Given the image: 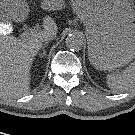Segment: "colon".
I'll list each match as a JSON object with an SVG mask.
<instances>
[{
  "label": "colon",
  "instance_id": "obj_1",
  "mask_svg": "<svg viewBox=\"0 0 135 135\" xmlns=\"http://www.w3.org/2000/svg\"><path fill=\"white\" fill-rule=\"evenodd\" d=\"M133 5L135 6V0H132Z\"/></svg>",
  "mask_w": 135,
  "mask_h": 135
}]
</instances>
